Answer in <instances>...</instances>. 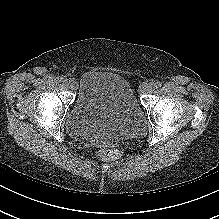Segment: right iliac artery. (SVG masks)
I'll return each instance as SVG.
<instances>
[{
  "instance_id": "1",
  "label": "right iliac artery",
  "mask_w": 219,
  "mask_h": 219,
  "mask_svg": "<svg viewBox=\"0 0 219 219\" xmlns=\"http://www.w3.org/2000/svg\"><path fill=\"white\" fill-rule=\"evenodd\" d=\"M58 81H59V82H64L65 79H64L62 76H60V77H58Z\"/></svg>"
}]
</instances>
